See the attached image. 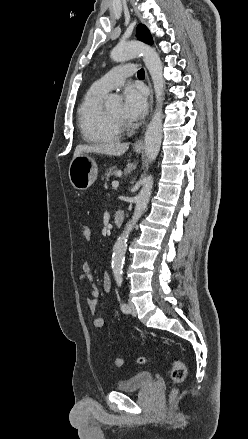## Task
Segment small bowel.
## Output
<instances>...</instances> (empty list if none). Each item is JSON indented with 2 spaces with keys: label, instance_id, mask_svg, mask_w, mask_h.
Listing matches in <instances>:
<instances>
[{
  "label": "small bowel",
  "instance_id": "small-bowel-1",
  "mask_svg": "<svg viewBox=\"0 0 248 439\" xmlns=\"http://www.w3.org/2000/svg\"><path fill=\"white\" fill-rule=\"evenodd\" d=\"M79 280L82 283H85L88 288V296L86 298V302L89 307V312L93 318V325L99 329L104 328L106 321L103 317L97 314L99 291L95 286V284L92 282L91 266L88 262H84L81 265L79 272ZM102 283L105 292L109 293L111 290V279L107 271L103 273Z\"/></svg>",
  "mask_w": 248,
  "mask_h": 439
}]
</instances>
